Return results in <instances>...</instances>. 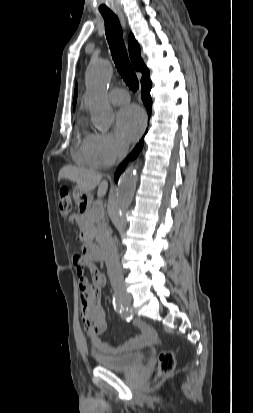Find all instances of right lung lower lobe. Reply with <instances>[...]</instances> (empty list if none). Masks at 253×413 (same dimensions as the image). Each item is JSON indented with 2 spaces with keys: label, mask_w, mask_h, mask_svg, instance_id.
Returning a JSON list of instances; mask_svg holds the SVG:
<instances>
[{
  "label": "right lung lower lobe",
  "mask_w": 253,
  "mask_h": 413,
  "mask_svg": "<svg viewBox=\"0 0 253 413\" xmlns=\"http://www.w3.org/2000/svg\"><path fill=\"white\" fill-rule=\"evenodd\" d=\"M152 86V82L149 78V74H146L145 76H143L141 78V92H142V99L144 102V105L147 108V113L150 116L151 114V97H150V89ZM143 140L141 139L140 142L136 145V147L134 148V150L128 155V157L120 164L119 168L117 169L116 173H115V181L117 182L120 174L122 173V171L124 170L125 166L127 165V163L133 159H135L139 152L141 151V149L143 148Z\"/></svg>",
  "instance_id": "98d812e1"
}]
</instances>
